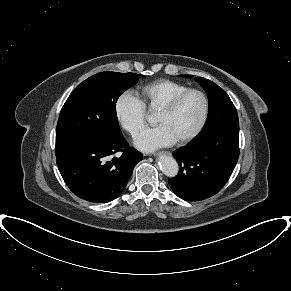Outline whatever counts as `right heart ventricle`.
<instances>
[{"mask_svg": "<svg viewBox=\"0 0 291 291\" xmlns=\"http://www.w3.org/2000/svg\"><path fill=\"white\" fill-rule=\"evenodd\" d=\"M188 89L180 82L170 79H159L145 84L138 89L139 99L150 110H159L176 94Z\"/></svg>", "mask_w": 291, "mask_h": 291, "instance_id": "1", "label": "right heart ventricle"}]
</instances>
